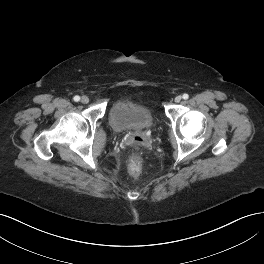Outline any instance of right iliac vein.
<instances>
[{
  "label": "right iliac vein",
  "mask_w": 264,
  "mask_h": 264,
  "mask_svg": "<svg viewBox=\"0 0 264 264\" xmlns=\"http://www.w3.org/2000/svg\"><path fill=\"white\" fill-rule=\"evenodd\" d=\"M81 102H82L83 104H87V103L89 102V98H88L87 96H82V97H81Z\"/></svg>",
  "instance_id": "obj_1"
}]
</instances>
